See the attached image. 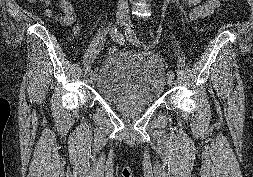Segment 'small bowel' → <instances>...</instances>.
Wrapping results in <instances>:
<instances>
[{
    "label": "small bowel",
    "instance_id": "obj_1",
    "mask_svg": "<svg viewBox=\"0 0 253 177\" xmlns=\"http://www.w3.org/2000/svg\"><path fill=\"white\" fill-rule=\"evenodd\" d=\"M183 5L188 6L191 9L189 18L192 22L196 23L200 19L210 16L220 5L219 0H207L201 3V0H181ZM30 4L41 3L45 6V16H51V1L50 0H26ZM63 14L56 17L57 23L62 26L74 25L73 35H78L81 29V25L77 18V13L74 6L69 0H58Z\"/></svg>",
    "mask_w": 253,
    "mask_h": 177
}]
</instances>
